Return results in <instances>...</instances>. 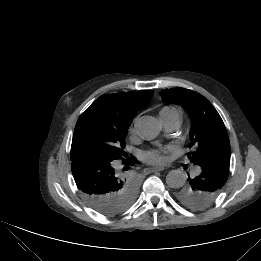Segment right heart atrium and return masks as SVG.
Segmentation results:
<instances>
[{
    "label": "right heart atrium",
    "mask_w": 261,
    "mask_h": 261,
    "mask_svg": "<svg viewBox=\"0 0 261 261\" xmlns=\"http://www.w3.org/2000/svg\"><path fill=\"white\" fill-rule=\"evenodd\" d=\"M136 123H137V119H134L129 128V135L132 138L135 137V135H136Z\"/></svg>",
    "instance_id": "1"
}]
</instances>
